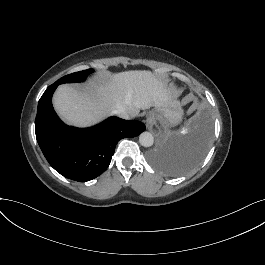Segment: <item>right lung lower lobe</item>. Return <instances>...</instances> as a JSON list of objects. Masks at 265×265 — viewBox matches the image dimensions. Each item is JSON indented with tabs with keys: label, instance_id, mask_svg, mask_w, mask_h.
Listing matches in <instances>:
<instances>
[{
	"label": "right lung lower lobe",
	"instance_id": "98d812e1",
	"mask_svg": "<svg viewBox=\"0 0 265 265\" xmlns=\"http://www.w3.org/2000/svg\"><path fill=\"white\" fill-rule=\"evenodd\" d=\"M57 86L56 82L49 86L38 103L35 120L38 144L58 173L79 182L92 180L107 169L118 141L138 136L145 130V125L110 117L88 129L67 126L52 106V95Z\"/></svg>",
	"mask_w": 265,
	"mask_h": 265
}]
</instances>
